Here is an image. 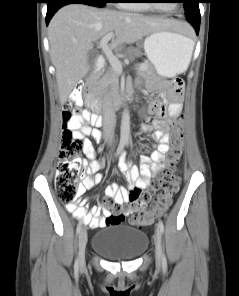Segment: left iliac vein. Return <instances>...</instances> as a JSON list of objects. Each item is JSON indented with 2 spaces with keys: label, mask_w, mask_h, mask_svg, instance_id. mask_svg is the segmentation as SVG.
<instances>
[{
  "label": "left iliac vein",
  "mask_w": 239,
  "mask_h": 296,
  "mask_svg": "<svg viewBox=\"0 0 239 296\" xmlns=\"http://www.w3.org/2000/svg\"><path fill=\"white\" fill-rule=\"evenodd\" d=\"M154 244H155L156 266L160 268L162 264V246H161V233L158 227L154 235Z\"/></svg>",
  "instance_id": "left-iliac-vein-1"
}]
</instances>
